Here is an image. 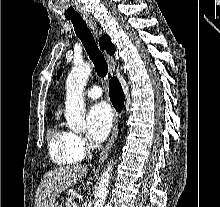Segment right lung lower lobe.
I'll return each instance as SVG.
<instances>
[{
    "instance_id": "1",
    "label": "right lung lower lobe",
    "mask_w": 220,
    "mask_h": 207,
    "mask_svg": "<svg viewBox=\"0 0 220 207\" xmlns=\"http://www.w3.org/2000/svg\"><path fill=\"white\" fill-rule=\"evenodd\" d=\"M109 94L114 107L120 112L124 105V94L119 81L115 77L110 80Z\"/></svg>"
}]
</instances>
